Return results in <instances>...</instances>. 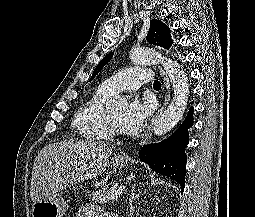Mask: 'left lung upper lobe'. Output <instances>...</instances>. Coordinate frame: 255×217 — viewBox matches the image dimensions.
Returning <instances> with one entry per match:
<instances>
[{
    "mask_svg": "<svg viewBox=\"0 0 255 217\" xmlns=\"http://www.w3.org/2000/svg\"><path fill=\"white\" fill-rule=\"evenodd\" d=\"M147 41L153 45H159L165 49H169L172 43L170 29L167 25L159 20L153 19L150 23V29L147 34ZM114 52L107 54L95 68L90 81L100 72V70L112 58Z\"/></svg>",
    "mask_w": 255,
    "mask_h": 217,
    "instance_id": "left-lung-upper-lobe-1",
    "label": "left lung upper lobe"
}]
</instances>
